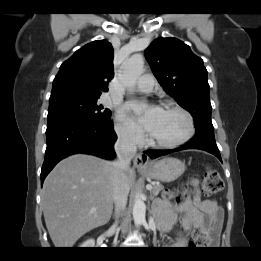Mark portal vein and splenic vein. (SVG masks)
<instances>
[{"label": "portal vein and splenic vein", "mask_w": 261, "mask_h": 261, "mask_svg": "<svg viewBox=\"0 0 261 261\" xmlns=\"http://www.w3.org/2000/svg\"><path fill=\"white\" fill-rule=\"evenodd\" d=\"M146 188H147V190H152L153 186L152 185H147Z\"/></svg>", "instance_id": "18ae733b"}]
</instances>
